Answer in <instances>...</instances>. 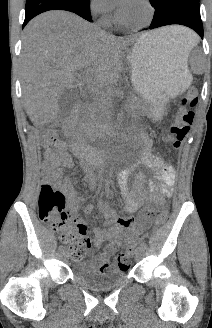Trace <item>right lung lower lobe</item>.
<instances>
[{"label":"right lung lower lobe","mask_w":212,"mask_h":328,"mask_svg":"<svg viewBox=\"0 0 212 328\" xmlns=\"http://www.w3.org/2000/svg\"><path fill=\"white\" fill-rule=\"evenodd\" d=\"M49 10H66L92 21L90 0H27L23 27L36 15Z\"/></svg>","instance_id":"obj_1"}]
</instances>
